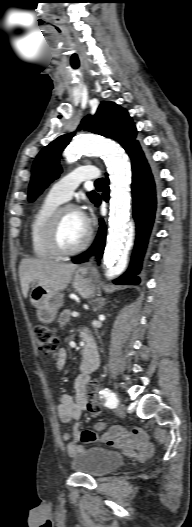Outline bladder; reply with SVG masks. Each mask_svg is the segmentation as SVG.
<instances>
[{
    "label": "bladder",
    "mask_w": 192,
    "mask_h": 527,
    "mask_svg": "<svg viewBox=\"0 0 192 527\" xmlns=\"http://www.w3.org/2000/svg\"><path fill=\"white\" fill-rule=\"evenodd\" d=\"M123 460L124 457L119 452L103 447H91L77 454L71 462V467L77 473L99 478L117 469Z\"/></svg>",
    "instance_id": "obj_1"
}]
</instances>
